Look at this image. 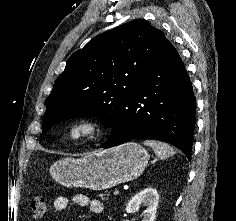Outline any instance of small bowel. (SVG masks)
Wrapping results in <instances>:
<instances>
[{"mask_svg":"<svg viewBox=\"0 0 236 221\" xmlns=\"http://www.w3.org/2000/svg\"><path fill=\"white\" fill-rule=\"evenodd\" d=\"M73 203L79 207H88L93 214H101L104 210V205L99 200H90L83 194H77L73 198ZM68 199L66 197H57L53 202V209L57 212L66 210Z\"/></svg>","mask_w":236,"mask_h":221,"instance_id":"small-bowel-1","label":"small bowel"}]
</instances>
